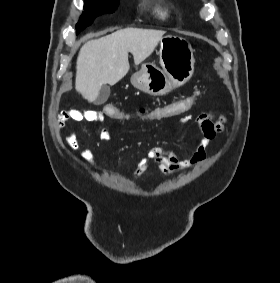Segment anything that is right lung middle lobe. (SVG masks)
<instances>
[{
  "instance_id": "dd1d6c3e",
  "label": "right lung middle lobe",
  "mask_w": 280,
  "mask_h": 283,
  "mask_svg": "<svg viewBox=\"0 0 280 283\" xmlns=\"http://www.w3.org/2000/svg\"><path fill=\"white\" fill-rule=\"evenodd\" d=\"M117 6L118 0H85V12L76 25V33L78 34L84 28L91 25L96 16L104 13H113Z\"/></svg>"
}]
</instances>
